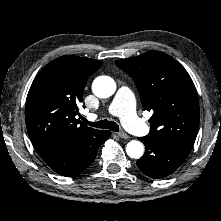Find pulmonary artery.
I'll use <instances>...</instances> for the list:
<instances>
[{"label":"pulmonary artery","mask_w":221,"mask_h":221,"mask_svg":"<svg viewBox=\"0 0 221 221\" xmlns=\"http://www.w3.org/2000/svg\"><path fill=\"white\" fill-rule=\"evenodd\" d=\"M109 113L118 116L124 126L134 134L145 135L148 132L147 126L136 115L134 95L128 87L119 88L109 106ZM96 117L93 114L88 115L89 120Z\"/></svg>","instance_id":"1"}]
</instances>
